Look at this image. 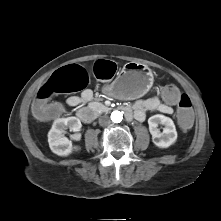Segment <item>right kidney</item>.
I'll list each match as a JSON object with an SVG mask.
<instances>
[{
    "label": "right kidney",
    "mask_w": 221,
    "mask_h": 221,
    "mask_svg": "<svg viewBox=\"0 0 221 221\" xmlns=\"http://www.w3.org/2000/svg\"><path fill=\"white\" fill-rule=\"evenodd\" d=\"M81 127V121L76 117L56 119L48 133V143L52 152L59 156H68L72 151H78L80 147H73L72 142L64 136V133L67 128L77 132Z\"/></svg>",
    "instance_id": "ca27d5eb"
}]
</instances>
